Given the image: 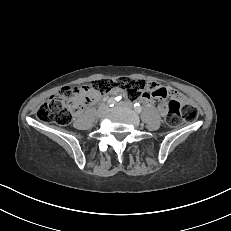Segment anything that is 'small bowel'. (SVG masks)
I'll return each instance as SVG.
<instances>
[{
    "label": "small bowel",
    "mask_w": 231,
    "mask_h": 231,
    "mask_svg": "<svg viewBox=\"0 0 231 231\" xmlns=\"http://www.w3.org/2000/svg\"><path fill=\"white\" fill-rule=\"evenodd\" d=\"M113 93H117L118 90H112ZM99 94L92 92L88 86H81L78 88V92L74 98L73 104L76 110H79L83 105H88L95 102L99 98ZM152 97H168L173 100H181L182 95L180 92L170 88L163 87L156 84H150L149 90L142 96L141 100L144 103H151Z\"/></svg>",
    "instance_id": "c3829d8e"
}]
</instances>
